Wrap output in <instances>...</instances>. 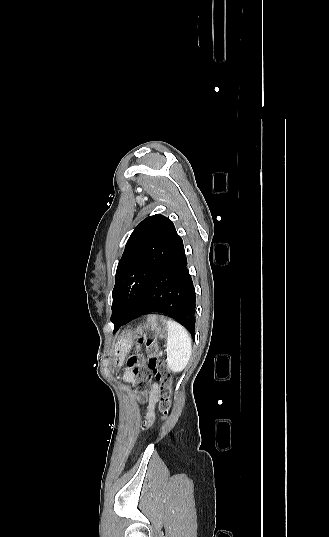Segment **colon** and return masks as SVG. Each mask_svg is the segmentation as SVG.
<instances>
[{"label": "colon", "instance_id": "obj_1", "mask_svg": "<svg viewBox=\"0 0 329 537\" xmlns=\"http://www.w3.org/2000/svg\"><path fill=\"white\" fill-rule=\"evenodd\" d=\"M145 341L143 334L138 336L139 345ZM147 358L145 359L138 350L127 359V365L135 375V388L139 401L143 402L150 387V379L156 378L160 382L158 389V406L165 416L170 407L171 375L165 364L159 358L158 348L153 342H147Z\"/></svg>", "mask_w": 329, "mask_h": 537}]
</instances>
